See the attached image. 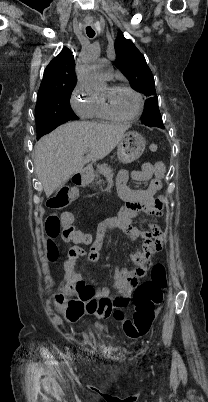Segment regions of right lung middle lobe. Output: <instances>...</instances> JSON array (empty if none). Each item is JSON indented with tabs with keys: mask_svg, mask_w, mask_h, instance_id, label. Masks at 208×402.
<instances>
[{
	"mask_svg": "<svg viewBox=\"0 0 208 402\" xmlns=\"http://www.w3.org/2000/svg\"><path fill=\"white\" fill-rule=\"evenodd\" d=\"M75 85L56 88L37 96L35 108L36 123L47 119H56L60 122L78 120L70 106V97ZM44 133L37 130V139Z\"/></svg>",
	"mask_w": 208,
	"mask_h": 402,
	"instance_id": "dd1d6c3e",
	"label": "right lung middle lobe"
}]
</instances>
